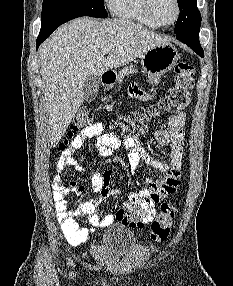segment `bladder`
I'll return each mask as SVG.
<instances>
[{
    "instance_id": "1",
    "label": "bladder",
    "mask_w": 233,
    "mask_h": 286,
    "mask_svg": "<svg viewBox=\"0 0 233 286\" xmlns=\"http://www.w3.org/2000/svg\"><path fill=\"white\" fill-rule=\"evenodd\" d=\"M138 240L133 231L123 225H113L99 242V254L107 258H124L137 247Z\"/></svg>"
}]
</instances>
